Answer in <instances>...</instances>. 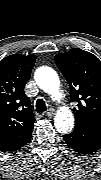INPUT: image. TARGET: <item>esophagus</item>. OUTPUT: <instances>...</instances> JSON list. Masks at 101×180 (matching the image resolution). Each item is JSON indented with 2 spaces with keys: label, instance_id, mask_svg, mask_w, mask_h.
<instances>
[{
  "label": "esophagus",
  "instance_id": "obj_1",
  "mask_svg": "<svg viewBox=\"0 0 101 180\" xmlns=\"http://www.w3.org/2000/svg\"><path fill=\"white\" fill-rule=\"evenodd\" d=\"M51 113H53V109L48 110V114H51Z\"/></svg>",
  "mask_w": 101,
  "mask_h": 180
}]
</instances>
